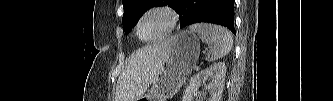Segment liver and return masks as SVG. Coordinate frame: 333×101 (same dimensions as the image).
I'll return each mask as SVG.
<instances>
[{
	"mask_svg": "<svg viewBox=\"0 0 333 101\" xmlns=\"http://www.w3.org/2000/svg\"><path fill=\"white\" fill-rule=\"evenodd\" d=\"M165 41L137 50L119 76L116 101H135L154 82L167 57Z\"/></svg>",
	"mask_w": 333,
	"mask_h": 101,
	"instance_id": "obj_1",
	"label": "liver"
}]
</instances>
